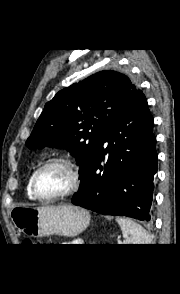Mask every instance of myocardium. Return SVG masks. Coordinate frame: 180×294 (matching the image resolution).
<instances>
[{
  "mask_svg": "<svg viewBox=\"0 0 180 294\" xmlns=\"http://www.w3.org/2000/svg\"><path fill=\"white\" fill-rule=\"evenodd\" d=\"M53 165H62L69 171L71 175V184L69 188L66 189L64 192L58 193L53 196H43L38 191L37 180L39 175L45 169ZM81 184H82V178L76 163L69 157L60 156V157H54V158L48 159L33 173L32 180H31V190L33 195L40 201H56V200H60L75 194L80 189Z\"/></svg>",
  "mask_w": 180,
  "mask_h": 294,
  "instance_id": "f54148a6",
  "label": "myocardium"
}]
</instances>
